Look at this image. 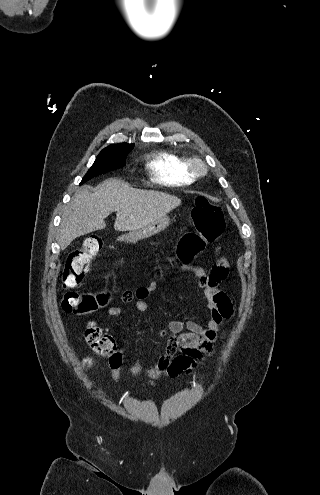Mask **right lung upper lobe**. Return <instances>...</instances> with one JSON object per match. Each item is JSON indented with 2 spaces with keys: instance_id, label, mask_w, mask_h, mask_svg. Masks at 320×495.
Returning <instances> with one entry per match:
<instances>
[{
  "instance_id": "cb5924a9",
  "label": "right lung upper lobe",
  "mask_w": 320,
  "mask_h": 495,
  "mask_svg": "<svg viewBox=\"0 0 320 495\" xmlns=\"http://www.w3.org/2000/svg\"><path fill=\"white\" fill-rule=\"evenodd\" d=\"M133 144H128V143H120V144H111L105 149L111 150V149H132Z\"/></svg>"
}]
</instances>
